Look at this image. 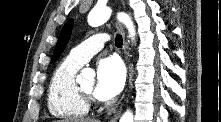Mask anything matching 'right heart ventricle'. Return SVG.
Wrapping results in <instances>:
<instances>
[{
  "label": "right heart ventricle",
  "instance_id": "obj_1",
  "mask_svg": "<svg viewBox=\"0 0 221 122\" xmlns=\"http://www.w3.org/2000/svg\"><path fill=\"white\" fill-rule=\"evenodd\" d=\"M81 65L67 57L54 70L48 86L49 112L58 118H79L89 105L78 93L76 75Z\"/></svg>",
  "mask_w": 221,
  "mask_h": 122
}]
</instances>
